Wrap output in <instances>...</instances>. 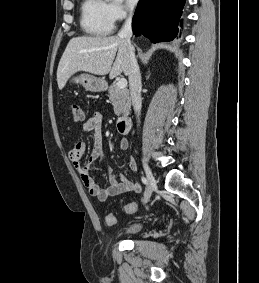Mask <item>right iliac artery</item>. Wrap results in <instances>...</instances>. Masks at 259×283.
<instances>
[{
  "mask_svg": "<svg viewBox=\"0 0 259 283\" xmlns=\"http://www.w3.org/2000/svg\"><path fill=\"white\" fill-rule=\"evenodd\" d=\"M141 180H142V182H143L145 185L148 184V181H147V179H146L145 177H142Z\"/></svg>",
  "mask_w": 259,
  "mask_h": 283,
  "instance_id": "82829eb1",
  "label": "right iliac artery"
}]
</instances>
